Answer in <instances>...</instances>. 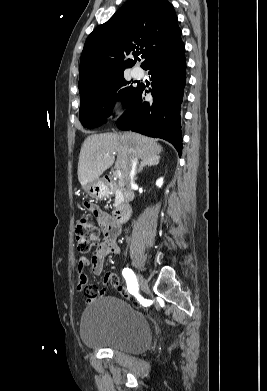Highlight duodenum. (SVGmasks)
Masks as SVG:
<instances>
[{
	"label": "duodenum",
	"mask_w": 267,
	"mask_h": 391,
	"mask_svg": "<svg viewBox=\"0 0 267 391\" xmlns=\"http://www.w3.org/2000/svg\"><path fill=\"white\" fill-rule=\"evenodd\" d=\"M131 215V208L129 205H123L115 210L112 217V226L114 228L120 227L121 224L126 222Z\"/></svg>",
	"instance_id": "duodenum-1"
}]
</instances>
